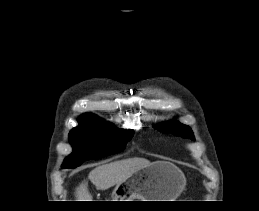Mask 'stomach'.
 Returning a JSON list of instances; mask_svg holds the SVG:
<instances>
[{"mask_svg":"<svg viewBox=\"0 0 259 211\" xmlns=\"http://www.w3.org/2000/svg\"><path fill=\"white\" fill-rule=\"evenodd\" d=\"M184 177L174 165L158 161L116 185L113 201H173L184 187Z\"/></svg>","mask_w":259,"mask_h":211,"instance_id":"1","label":"stomach"}]
</instances>
